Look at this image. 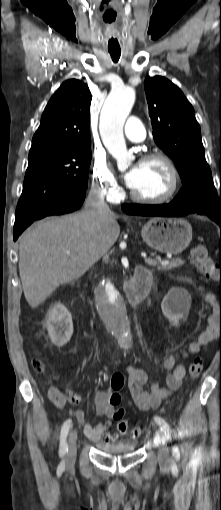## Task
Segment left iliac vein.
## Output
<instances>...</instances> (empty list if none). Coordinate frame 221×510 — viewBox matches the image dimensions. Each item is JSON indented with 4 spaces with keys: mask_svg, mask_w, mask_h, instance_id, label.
<instances>
[{
    "mask_svg": "<svg viewBox=\"0 0 221 510\" xmlns=\"http://www.w3.org/2000/svg\"><path fill=\"white\" fill-rule=\"evenodd\" d=\"M155 439L159 442V462L162 466H167L169 462V452L165 440L163 439L160 432L156 433Z\"/></svg>",
    "mask_w": 221,
    "mask_h": 510,
    "instance_id": "obj_1",
    "label": "left iliac vein"
}]
</instances>
